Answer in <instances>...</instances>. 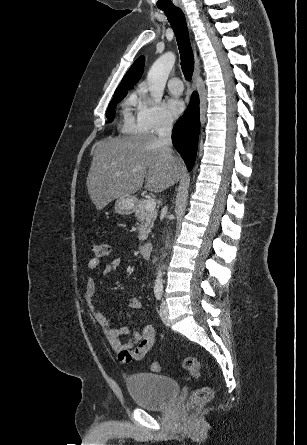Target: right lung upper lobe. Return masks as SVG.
I'll use <instances>...</instances> for the list:
<instances>
[{
  "mask_svg": "<svg viewBox=\"0 0 307 445\" xmlns=\"http://www.w3.org/2000/svg\"><path fill=\"white\" fill-rule=\"evenodd\" d=\"M144 68V57H139L123 77L120 85L115 91L112 101L122 99L126 95V91L131 89L140 79Z\"/></svg>",
  "mask_w": 307,
  "mask_h": 445,
  "instance_id": "right-lung-upper-lobe-1",
  "label": "right lung upper lobe"
}]
</instances>
